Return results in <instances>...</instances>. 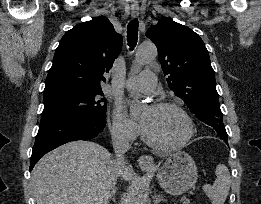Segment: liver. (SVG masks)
<instances>
[{
    "label": "liver",
    "instance_id": "obj_1",
    "mask_svg": "<svg viewBox=\"0 0 261 204\" xmlns=\"http://www.w3.org/2000/svg\"><path fill=\"white\" fill-rule=\"evenodd\" d=\"M112 155L90 141H72L45 155L32 171L37 204H107L112 189ZM119 175L130 180L132 168Z\"/></svg>",
    "mask_w": 261,
    "mask_h": 204
}]
</instances>
